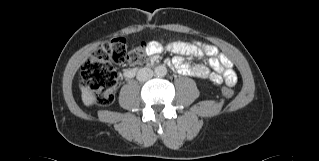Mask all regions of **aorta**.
Segmentation results:
<instances>
[{"label":"aorta","mask_w":319,"mask_h":161,"mask_svg":"<svg viewBox=\"0 0 319 161\" xmlns=\"http://www.w3.org/2000/svg\"><path fill=\"white\" fill-rule=\"evenodd\" d=\"M154 72L158 77H164L167 74V68L164 65H159Z\"/></svg>","instance_id":"1"}]
</instances>
